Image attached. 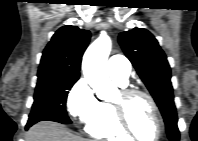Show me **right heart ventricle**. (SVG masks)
I'll return each mask as SVG.
<instances>
[{"label": "right heart ventricle", "instance_id": "obj_1", "mask_svg": "<svg viewBox=\"0 0 198 141\" xmlns=\"http://www.w3.org/2000/svg\"><path fill=\"white\" fill-rule=\"evenodd\" d=\"M119 85L124 86L117 82ZM89 135L110 141H127L130 137L118 125L112 105L106 101H99L95 116L86 123Z\"/></svg>", "mask_w": 198, "mask_h": 141}]
</instances>
